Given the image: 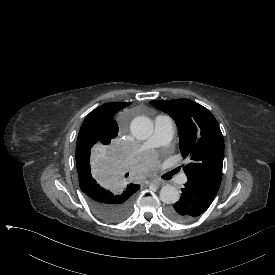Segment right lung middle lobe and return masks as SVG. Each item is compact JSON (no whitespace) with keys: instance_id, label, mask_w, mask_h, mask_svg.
<instances>
[{"instance_id":"obj_1","label":"right lung middle lobe","mask_w":275,"mask_h":275,"mask_svg":"<svg viewBox=\"0 0 275 275\" xmlns=\"http://www.w3.org/2000/svg\"><path fill=\"white\" fill-rule=\"evenodd\" d=\"M76 166L80 189L95 212L110 221L125 219L132 209L134 193L121 190L106 148L79 133Z\"/></svg>"}]
</instances>
